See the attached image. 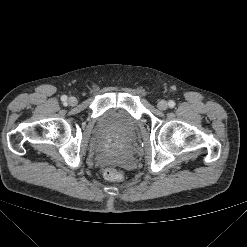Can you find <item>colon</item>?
Wrapping results in <instances>:
<instances>
[{
  "label": "colon",
  "mask_w": 247,
  "mask_h": 247,
  "mask_svg": "<svg viewBox=\"0 0 247 247\" xmlns=\"http://www.w3.org/2000/svg\"><path fill=\"white\" fill-rule=\"evenodd\" d=\"M103 176L109 181H121L123 180V174L114 167H107L103 170Z\"/></svg>",
  "instance_id": "obj_1"
}]
</instances>
